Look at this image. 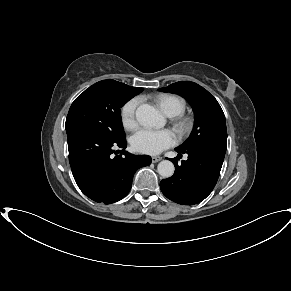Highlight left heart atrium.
<instances>
[{"mask_svg":"<svg viewBox=\"0 0 291 291\" xmlns=\"http://www.w3.org/2000/svg\"><path fill=\"white\" fill-rule=\"evenodd\" d=\"M177 137L169 129H140L131 137V146L140 153L155 155L175 145Z\"/></svg>","mask_w":291,"mask_h":291,"instance_id":"left-heart-atrium-1","label":"left heart atrium"}]
</instances>
